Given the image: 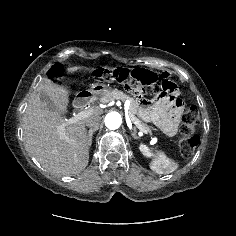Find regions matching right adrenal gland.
I'll return each mask as SVG.
<instances>
[{
  "label": "right adrenal gland",
  "mask_w": 236,
  "mask_h": 236,
  "mask_svg": "<svg viewBox=\"0 0 236 236\" xmlns=\"http://www.w3.org/2000/svg\"><path fill=\"white\" fill-rule=\"evenodd\" d=\"M97 131V129H90L87 133V143H88V146H91L92 145V138H93V133Z\"/></svg>",
  "instance_id": "1"
}]
</instances>
